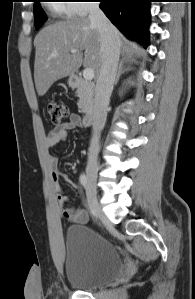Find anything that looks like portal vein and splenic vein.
<instances>
[{
	"label": "portal vein and splenic vein",
	"mask_w": 195,
	"mask_h": 299,
	"mask_svg": "<svg viewBox=\"0 0 195 299\" xmlns=\"http://www.w3.org/2000/svg\"><path fill=\"white\" fill-rule=\"evenodd\" d=\"M76 49H72L71 53H76ZM56 55V54H55ZM83 77L85 80H92L94 78V70L92 68H85L83 71Z\"/></svg>",
	"instance_id": "portal-vein-and-splenic-vein-1"
}]
</instances>
